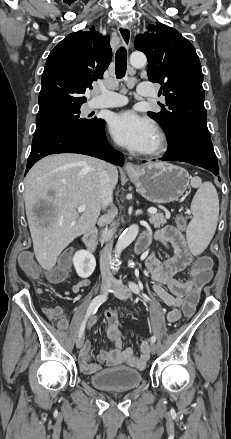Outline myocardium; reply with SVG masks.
<instances>
[{
    "label": "myocardium",
    "mask_w": 231,
    "mask_h": 439,
    "mask_svg": "<svg viewBox=\"0 0 231 439\" xmlns=\"http://www.w3.org/2000/svg\"><path fill=\"white\" fill-rule=\"evenodd\" d=\"M167 147H168V139L165 133L162 130L157 129L155 146L145 151L144 154L147 156H158L164 153L167 150Z\"/></svg>",
    "instance_id": "obj_1"
}]
</instances>
